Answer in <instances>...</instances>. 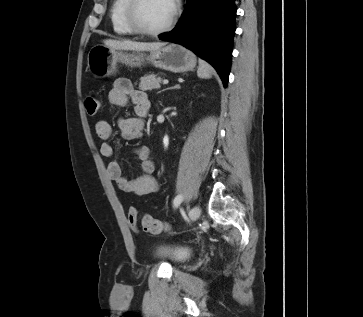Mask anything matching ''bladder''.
<instances>
[{
	"label": "bladder",
	"mask_w": 363,
	"mask_h": 317,
	"mask_svg": "<svg viewBox=\"0 0 363 317\" xmlns=\"http://www.w3.org/2000/svg\"><path fill=\"white\" fill-rule=\"evenodd\" d=\"M153 255L158 260H166L173 265H179L190 258L191 251L185 247H170L157 244L153 249Z\"/></svg>",
	"instance_id": "1"
}]
</instances>
